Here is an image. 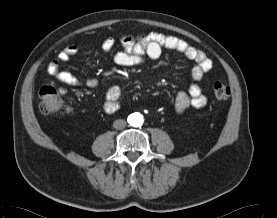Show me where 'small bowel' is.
I'll list each match as a JSON object with an SVG mask.
<instances>
[{
	"label": "small bowel",
	"mask_w": 277,
	"mask_h": 218,
	"mask_svg": "<svg viewBox=\"0 0 277 218\" xmlns=\"http://www.w3.org/2000/svg\"><path fill=\"white\" fill-rule=\"evenodd\" d=\"M112 42L106 41L103 45L105 51H110ZM163 48H169L182 53L187 59L195 61L196 65L193 68L194 82L190 85L188 92L178 94L176 100L181 106L188 104L203 105L206 103V98L201 92V87L198 83L202 75L211 68V60L208 59L201 51L191 46L185 40L176 37L168 36L159 33H153L149 36L146 43L141 45H133L129 41L123 42V51L116 54V62L123 66H138L146 60L158 59L163 51ZM78 52L76 45H69L63 48L57 55V58L51 61L47 66V72L55 76L63 83H72L73 76L71 73L61 70V64L70 60ZM99 83L97 78H91L87 84L91 87L97 86ZM119 95V90L114 88L109 92V99L113 101Z\"/></svg>",
	"instance_id": "1"
}]
</instances>
